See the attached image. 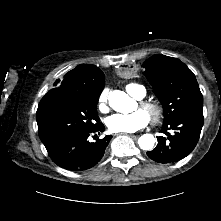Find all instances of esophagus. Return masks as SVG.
Instances as JSON below:
<instances>
[{"label": "esophagus", "mask_w": 221, "mask_h": 221, "mask_svg": "<svg viewBox=\"0 0 221 221\" xmlns=\"http://www.w3.org/2000/svg\"><path fill=\"white\" fill-rule=\"evenodd\" d=\"M121 134H124V133H116V134H114L113 136H118V135H121ZM129 136L135 137V135H133V134H129Z\"/></svg>", "instance_id": "34e87169"}]
</instances>
